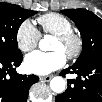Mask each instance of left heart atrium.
<instances>
[{"mask_svg": "<svg viewBox=\"0 0 102 102\" xmlns=\"http://www.w3.org/2000/svg\"><path fill=\"white\" fill-rule=\"evenodd\" d=\"M66 63V57L60 51L41 52L33 51L25 58L27 69L38 75H47L62 68Z\"/></svg>", "mask_w": 102, "mask_h": 102, "instance_id": "39dd6f15", "label": "left heart atrium"}]
</instances>
